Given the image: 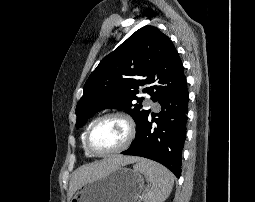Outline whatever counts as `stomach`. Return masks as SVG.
Returning a JSON list of instances; mask_svg holds the SVG:
<instances>
[{
    "label": "stomach",
    "mask_w": 255,
    "mask_h": 202,
    "mask_svg": "<svg viewBox=\"0 0 255 202\" xmlns=\"http://www.w3.org/2000/svg\"><path fill=\"white\" fill-rule=\"evenodd\" d=\"M144 186L139 172L119 167L81 185L70 202H137Z\"/></svg>",
    "instance_id": "obj_1"
}]
</instances>
